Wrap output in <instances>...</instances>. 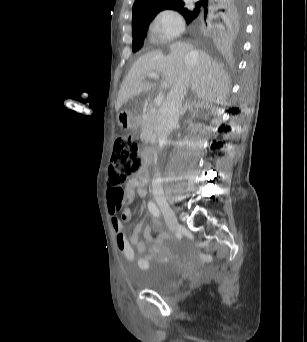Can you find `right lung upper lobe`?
I'll use <instances>...</instances> for the list:
<instances>
[{"mask_svg": "<svg viewBox=\"0 0 307 342\" xmlns=\"http://www.w3.org/2000/svg\"><path fill=\"white\" fill-rule=\"evenodd\" d=\"M193 10L183 0H135L132 14V35L146 32L155 15L164 9L179 11L187 23L193 22L199 33L211 41L224 40L240 10L238 0H201Z\"/></svg>", "mask_w": 307, "mask_h": 342, "instance_id": "1", "label": "right lung upper lobe"}]
</instances>
